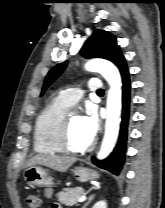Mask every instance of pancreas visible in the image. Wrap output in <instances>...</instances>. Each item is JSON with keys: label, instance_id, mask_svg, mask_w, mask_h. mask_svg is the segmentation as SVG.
<instances>
[{"label": "pancreas", "instance_id": "1", "mask_svg": "<svg viewBox=\"0 0 165 208\" xmlns=\"http://www.w3.org/2000/svg\"><path fill=\"white\" fill-rule=\"evenodd\" d=\"M85 194L82 187L65 188L57 194L58 201L66 206H72L78 203V199Z\"/></svg>", "mask_w": 165, "mask_h": 208}]
</instances>
